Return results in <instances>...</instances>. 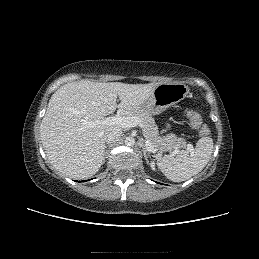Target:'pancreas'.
I'll list each match as a JSON object with an SVG mask.
<instances>
[{"label": "pancreas", "instance_id": "pancreas-1", "mask_svg": "<svg viewBox=\"0 0 259 259\" xmlns=\"http://www.w3.org/2000/svg\"><path fill=\"white\" fill-rule=\"evenodd\" d=\"M126 117H137L142 121L146 134L153 148L159 152L169 151L188 146L184 138H178L175 134L170 133L166 136H160L158 127L152 115L140 109L129 110L125 113Z\"/></svg>", "mask_w": 259, "mask_h": 259}]
</instances>
